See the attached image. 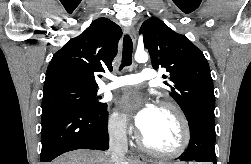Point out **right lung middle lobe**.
<instances>
[{"label":"right lung middle lobe","mask_w":251,"mask_h":164,"mask_svg":"<svg viewBox=\"0 0 251 164\" xmlns=\"http://www.w3.org/2000/svg\"><path fill=\"white\" fill-rule=\"evenodd\" d=\"M97 90L76 87H59L44 91L42 110L50 107H72L97 111L107 104L98 101Z\"/></svg>","instance_id":"dd1d6c3e"}]
</instances>
